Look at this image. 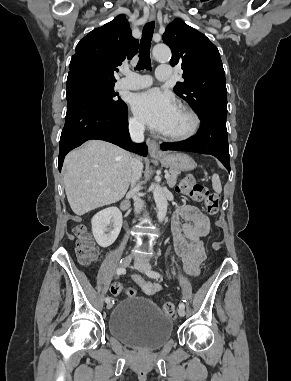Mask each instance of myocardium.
Masks as SVG:
<instances>
[{
    "label": "myocardium",
    "mask_w": 291,
    "mask_h": 381,
    "mask_svg": "<svg viewBox=\"0 0 291 381\" xmlns=\"http://www.w3.org/2000/svg\"><path fill=\"white\" fill-rule=\"evenodd\" d=\"M178 108L183 110L190 117L191 125L189 129L179 134L163 133V137L172 141H186L191 139L198 133L201 126V119L198 113L191 106L187 104H180Z\"/></svg>",
    "instance_id": "f54148a6"
}]
</instances>
